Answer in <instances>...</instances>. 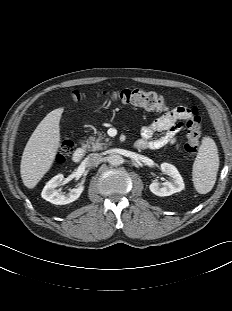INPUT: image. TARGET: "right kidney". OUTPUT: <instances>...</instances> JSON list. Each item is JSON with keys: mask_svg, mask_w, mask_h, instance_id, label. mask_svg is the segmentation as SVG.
Returning a JSON list of instances; mask_svg holds the SVG:
<instances>
[{"mask_svg": "<svg viewBox=\"0 0 232 311\" xmlns=\"http://www.w3.org/2000/svg\"><path fill=\"white\" fill-rule=\"evenodd\" d=\"M63 179L64 176L58 174L47 182L41 193L42 198L56 205H65L77 200L83 192L84 186L79 185L77 188L70 190L69 193L64 195L56 190V187L61 185Z\"/></svg>", "mask_w": 232, "mask_h": 311, "instance_id": "right-kidney-1", "label": "right kidney"}]
</instances>
